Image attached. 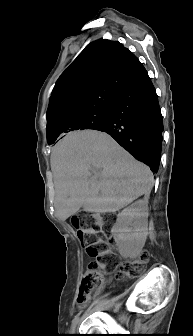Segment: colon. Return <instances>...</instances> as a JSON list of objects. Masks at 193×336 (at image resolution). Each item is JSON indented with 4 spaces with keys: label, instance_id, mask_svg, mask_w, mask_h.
Wrapping results in <instances>:
<instances>
[{
    "label": "colon",
    "instance_id": "1",
    "mask_svg": "<svg viewBox=\"0 0 193 336\" xmlns=\"http://www.w3.org/2000/svg\"><path fill=\"white\" fill-rule=\"evenodd\" d=\"M113 223L114 218L110 215L89 212L75 214L71 220L80 243L91 257L99 260L113 255ZM148 261L149 254L142 252L136 258L122 263L120 274L128 278H136L142 274ZM102 283L103 276L97 265H90L83 276L77 302L86 303L91 293L99 289Z\"/></svg>",
    "mask_w": 193,
    "mask_h": 336
}]
</instances>
